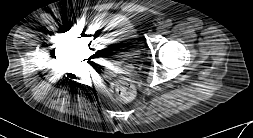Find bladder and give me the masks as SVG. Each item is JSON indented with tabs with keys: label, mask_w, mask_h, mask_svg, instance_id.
I'll return each mask as SVG.
<instances>
[{
	"label": "bladder",
	"mask_w": 253,
	"mask_h": 138,
	"mask_svg": "<svg viewBox=\"0 0 253 138\" xmlns=\"http://www.w3.org/2000/svg\"><path fill=\"white\" fill-rule=\"evenodd\" d=\"M135 27L126 20L110 19L100 33V43L107 47H118L129 58L138 55L139 50L133 46Z\"/></svg>",
	"instance_id": "1"
}]
</instances>
